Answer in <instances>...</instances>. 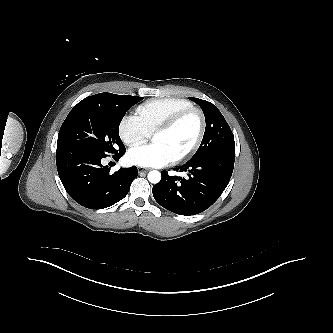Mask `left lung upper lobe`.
<instances>
[{"instance_id":"left-lung-upper-lobe-1","label":"left lung upper lobe","mask_w":333,"mask_h":333,"mask_svg":"<svg viewBox=\"0 0 333 333\" xmlns=\"http://www.w3.org/2000/svg\"><path fill=\"white\" fill-rule=\"evenodd\" d=\"M190 100L200 105L206 119L203 140L197 152L190 160L216 154L235 155L233 133L218 108L206 100L193 97H190Z\"/></svg>"}]
</instances>
